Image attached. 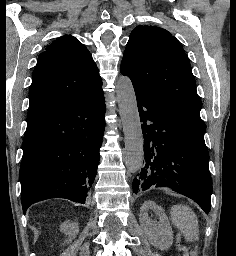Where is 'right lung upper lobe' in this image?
Returning a JSON list of instances; mask_svg holds the SVG:
<instances>
[{
	"label": "right lung upper lobe",
	"instance_id": "obj_1",
	"mask_svg": "<svg viewBox=\"0 0 236 256\" xmlns=\"http://www.w3.org/2000/svg\"><path fill=\"white\" fill-rule=\"evenodd\" d=\"M101 86L98 68L87 48L70 35L57 38L38 57L29 93L27 125Z\"/></svg>",
	"mask_w": 236,
	"mask_h": 256
}]
</instances>
